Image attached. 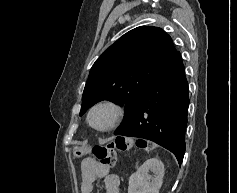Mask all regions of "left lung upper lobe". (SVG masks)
I'll use <instances>...</instances> for the list:
<instances>
[{"instance_id": "5c2ea615", "label": "left lung upper lobe", "mask_w": 237, "mask_h": 193, "mask_svg": "<svg viewBox=\"0 0 237 193\" xmlns=\"http://www.w3.org/2000/svg\"><path fill=\"white\" fill-rule=\"evenodd\" d=\"M177 52L171 37L161 28L140 26L127 32L92 66L80 116L95 103L110 100L125 109L124 120L115 133L123 130L135 115L146 90Z\"/></svg>"}]
</instances>
